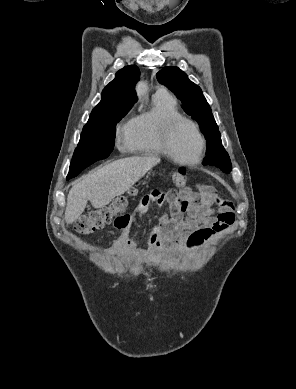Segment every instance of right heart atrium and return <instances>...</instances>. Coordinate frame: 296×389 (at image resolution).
I'll return each instance as SVG.
<instances>
[{"label": "right heart atrium", "instance_id": "d8ad5b80", "mask_svg": "<svg viewBox=\"0 0 296 389\" xmlns=\"http://www.w3.org/2000/svg\"><path fill=\"white\" fill-rule=\"evenodd\" d=\"M127 124L118 125L116 129V143L118 146L122 147L127 142Z\"/></svg>", "mask_w": 296, "mask_h": 389}]
</instances>
